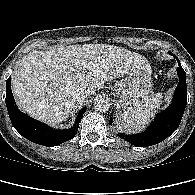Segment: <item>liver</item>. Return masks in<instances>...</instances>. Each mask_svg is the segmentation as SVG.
I'll return each mask as SVG.
<instances>
[{
	"mask_svg": "<svg viewBox=\"0 0 195 195\" xmlns=\"http://www.w3.org/2000/svg\"><path fill=\"white\" fill-rule=\"evenodd\" d=\"M142 55L107 44L52 47L27 54L12 75L15 101L29 116L56 126L75 107L73 91L85 87L90 95L107 81L126 75Z\"/></svg>",
	"mask_w": 195,
	"mask_h": 195,
	"instance_id": "obj_1",
	"label": "liver"
}]
</instances>
